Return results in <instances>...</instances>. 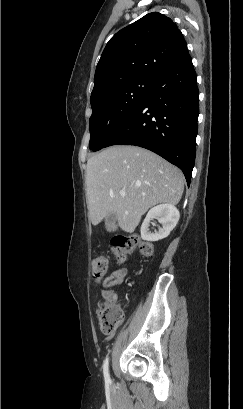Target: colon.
I'll use <instances>...</instances> for the list:
<instances>
[{
  "label": "colon",
  "mask_w": 243,
  "mask_h": 409,
  "mask_svg": "<svg viewBox=\"0 0 243 409\" xmlns=\"http://www.w3.org/2000/svg\"><path fill=\"white\" fill-rule=\"evenodd\" d=\"M139 245V253L149 257L153 253V245L149 242H140L137 236H115L111 240V250L119 262L126 260ZM108 261L99 257L92 261V276L96 281L103 279L108 272ZM123 310L114 300H103L98 305V318L103 333H113L123 319Z\"/></svg>",
  "instance_id": "obj_1"
}]
</instances>
